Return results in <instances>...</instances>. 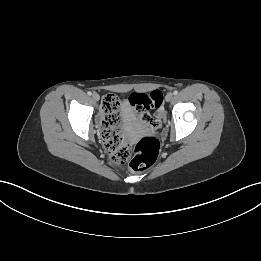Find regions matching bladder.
<instances>
[{"instance_id": "1", "label": "bladder", "mask_w": 261, "mask_h": 261, "mask_svg": "<svg viewBox=\"0 0 261 261\" xmlns=\"http://www.w3.org/2000/svg\"><path fill=\"white\" fill-rule=\"evenodd\" d=\"M124 112H125L127 117L130 116V109H129V107L127 105L124 106Z\"/></svg>"}]
</instances>
